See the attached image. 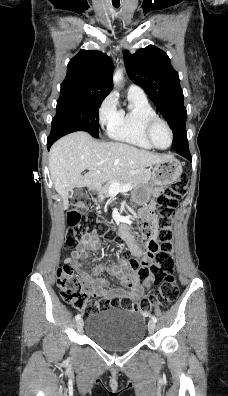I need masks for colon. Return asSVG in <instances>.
<instances>
[{
  "label": "colon",
  "mask_w": 228,
  "mask_h": 396,
  "mask_svg": "<svg viewBox=\"0 0 228 396\" xmlns=\"http://www.w3.org/2000/svg\"><path fill=\"white\" fill-rule=\"evenodd\" d=\"M189 177L186 174L165 188L157 198L156 217L158 220L159 244L150 239L151 216L147 215L142 225V241L149 252L155 254L153 263H146L138 258H126L130 268L136 272L139 283L143 287L148 282L157 281L156 290L140 301L130 297H115L111 299L99 298L92 300L83 290V282L68 264H62L57 269V286L64 301L73 305L85 315H92L101 310L118 307L125 310L148 313L153 307H167L178 295L174 277L168 272L173 270L175 261L173 257V216L179 199L186 193ZM89 197L79 191L73 198V209L67 214L69 227L66 245L78 246L86 241V234L90 231L99 233L102 225L98 224L95 214L83 215V210L89 207ZM91 229L87 232V230Z\"/></svg>",
  "instance_id": "5ec220e1"
}]
</instances>
